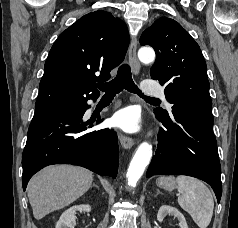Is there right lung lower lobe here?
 <instances>
[{"instance_id": "98d812e1", "label": "right lung lower lobe", "mask_w": 238, "mask_h": 228, "mask_svg": "<svg viewBox=\"0 0 238 228\" xmlns=\"http://www.w3.org/2000/svg\"><path fill=\"white\" fill-rule=\"evenodd\" d=\"M87 100L35 112L22 155L24 191L37 171L56 163L79 165L100 175L116 177L119 156L117 135L108 128L91 130L94 121L83 119L89 108ZM100 120L99 116L96 124Z\"/></svg>"}]
</instances>
